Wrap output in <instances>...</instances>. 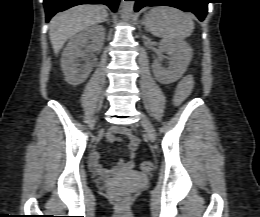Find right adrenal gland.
<instances>
[{
    "instance_id": "1",
    "label": "right adrenal gland",
    "mask_w": 260,
    "mask_h": 217,
    "mask_svg": "<svg viewBox=\"0 0 260 217\" xmlns=\"http://www.w3.org/2000/svg\"><path fill=\"white\" fill-rule=\"evenodd\" d=\"M105 21H106L108 24L110 23V22H109V18H108V16H107V18H106Z\"/></svg>"
}]
</instances>
